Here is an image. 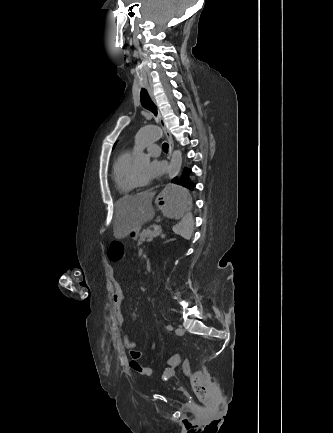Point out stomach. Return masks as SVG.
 <instances>
[{
    "mask_svg": "<svg viewBox=\"0 0 333 433\" xmlns=\"http://www.w3.org/2000/svg\"><path fill=\"white\" fill-rule=\"evenodd\" d=\"M188 197L184 183H165L157 197V204H161L163 219L184 220L188 210L192 209V202L188 201ZM130 236L136 239L138 232H131Z\"/></svg>",
    "mask_w": 333,
    "mask_h": 433,
    "instance_id": "obj_1",
    "label": "stomach"
}]
</instances>
